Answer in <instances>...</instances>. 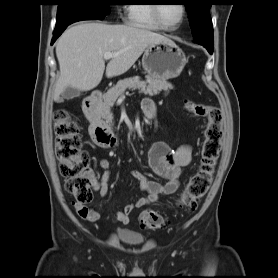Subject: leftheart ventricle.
Listing matches in <instances>:
<instances>
[{
    "instance_id": "left-heart-ventricle-1",
    "label": "left heart ventricle",
    "mask_w": 278,
    "mask_h": 278,
    "mask_svg": "<svg viewBox=\"0 0 278 278\" xmlns=\"http://www.w3.org/2000/svg\"><path fill=\"white\" fill-rule=\"evenodd\" d=\"M159 12H160L161 19L167 25L175 26L181 19L182 7L180 4L161 5Z\"/></svg>"
}]
</instances>
